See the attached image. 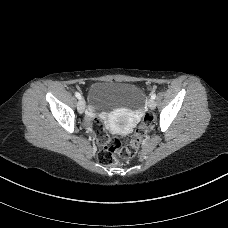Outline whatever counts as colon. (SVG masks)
Wrapping results in <instances>:
<instances>
[{
  "mask_svg": "<svg viewBox=\"0 0 228 228\" xmlns=\"http://www.w3.org/2000/svg\"><path fill=\"white\" fill-rule=\"evenodd\" d=\"M90 115L93 119L92 129L99 135V137H102L104 127L102 122L98 118V112L92 110L90 112ZM151 123L152 117L149 115L145 116L143 123L137 129L136 133L131 138L129 143L126 145H122L121 142L117 139L107 142L98 154V159L100 163H102L103 165H111L116 161V156L125 160L134 158L138 153L141 140Z\"/></svg>",
  "mask_w": 228,
  "mask_h": 228,
  "instance_id": "1",
  "label": "colon"
}]
</instances>
